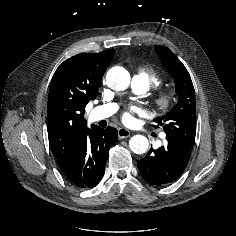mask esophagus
Wrapping results in <instances>:
<instances>
[{"instance_id": "esophagus-1", "label": "esophagus", "mask_w": 236, "mask_h": 236, "mask_svg": "<svg viewBox=\"0 0 236 236\" xmlns=\"http://www.w3.org/2000/svg\"><path fill=\"white\" fill-rule=\"evenodd\" d=\"M130 134H131V132L128 129H126V128H119L118 129V137L120 139L127 138V137L130 136Z\"/></svg>"}]
</instances>
